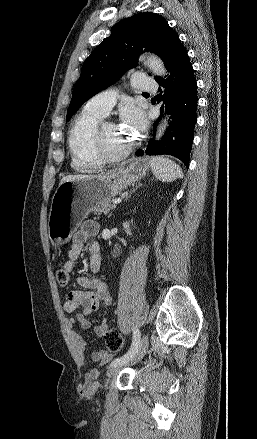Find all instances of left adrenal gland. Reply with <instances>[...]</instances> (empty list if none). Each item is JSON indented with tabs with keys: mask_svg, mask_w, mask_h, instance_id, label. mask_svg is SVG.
<instances>
[{
	"mask_svg": "<svg viewBox=\"0 0 257 439\" xmlns=\"http://www.w3.org/2000/svg\"><path fill=\"white\" fill-rule=\"evenodd\" d=\"M140 186H142V184H138V185H136L135 189H133V190L130 191L129 196H130V195H131V194H132L137 188H139ZM126 198H128V196H127Z\"/></svg>",
	"mask_w": 257,
	"mask_h": 439,
	"instance_id": "1",
	"label": "left adrenal gland"
}]
</instances>
